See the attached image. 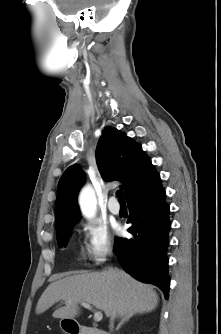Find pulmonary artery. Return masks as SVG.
<instances>
[{
	"label": "pulmonary artery",
	"instance_id": "e3ab8cb5",
	"mask_svg": "<svg viewBox=\"0 0 221 334\" xmlns=\"http://www.w3.org/2000/svg\"><path fill=\"white\" fill-rule=\"evenodd\" d=\"M108 208L112 214L118 215L120 213V206L118 205L115 197H111L109 199Z\"/></svg>",
	"mask_w": 221,
	"mask_h": 334
}]
</instances>
